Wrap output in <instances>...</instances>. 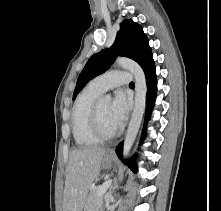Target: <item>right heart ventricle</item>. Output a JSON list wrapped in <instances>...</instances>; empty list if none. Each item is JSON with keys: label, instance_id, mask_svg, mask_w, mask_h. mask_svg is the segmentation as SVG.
I'll return each instance as SVG.
<instances>
[{"label": "right heart ventricle", "instance_id": "e07e8e85", "mask_svg": "<svg viewBox=\"0 0 221 211\" xmlns=\"http://www.w3.org/2000/svg\"><path fill=\"white\" fill-rule=\"evenodd\" d=\"M101 91L88 84L78 95L72 110V134L80 147H91L99 143L90 126V114Z\"/></svg>", "mask_w": 221, "mask_h": 211}]
</instances>
